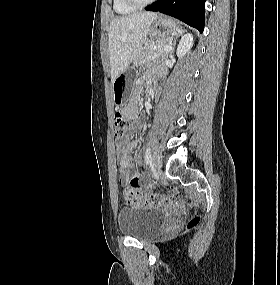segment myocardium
<instances>
[{
    "instance_id": "f54148a6",
    "label": "myocardium",
    "mask_w": 280,
    "mask_h": 285,
    "mask_svg": "<svg viewBox=\"0 0 280 285\" xmlns=\"http://www.w3.org/2000/svg\"><path fill=\"white\" fill-rule=\"evenodd\" d=\"M126 4H128L131 7L137 8H142L145 7L156 0H124Z\"/></svg>"
}]
</instances>
